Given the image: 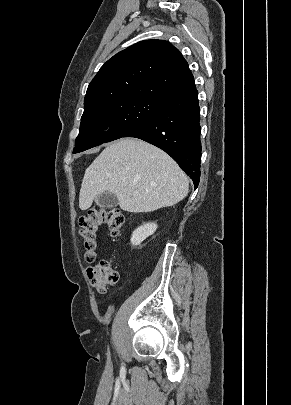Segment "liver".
<instances>
[{"mask_svg":"<svg viewBox=\"0 0 291 405\" xmlns=\"http://www.w3.org/2000/svg\"><path fill=\"white\" fill-rule=\"evenodd\" d=\"M188 190L187 176L164 151L136 138H122L86 169L79 207L87 210L97 196L111 193L124 211L151 212L174 206Z\"/></svg>","mask_w":291,"mask_h":405,"instance_id":"obj_1","label":"liver"}]
</instances>
